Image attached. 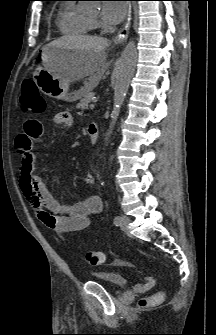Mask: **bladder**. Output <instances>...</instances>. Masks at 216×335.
Segmentation results:
<instances>
[{"mask_svg": "<svg viewBox=\"0 0 216 335\" xmlns=\"http://www.w3.org/2000/svg\"><path fill=\"white\" fill-rule=\"evenodd\" d=\"M91 275L94 280L116 289L123 287L127 281L125 274L117 271L94 272Z\"/></svg>", "mask_w": 216, "mask_h": 335, "instance_id": "bladder-1", "label": "bladder"}]
</instances>
